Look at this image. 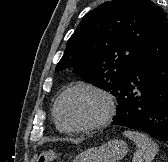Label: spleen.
Masks as SVG:
<instances>
[{
  "label": "spleen",
  "mask_w": 168,
  "mask_h": 162,
  "mask_svg": "<svg viewBox=\"0 0 168 162\" xmlns=\"http://www.w3.org/2000/svg\"><path fill=\"white\" fill-rule=\"evenodd\" d=\"M123 135L131 139L138 147L132 162H151L159 151L158 145L143 133L128 130L124 131Z\"/></svg>",
  "instance_id": "obj_1"
}]
</instances>
